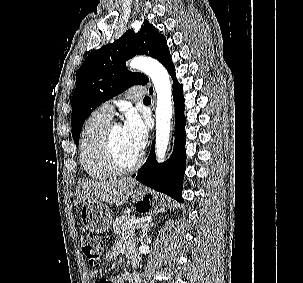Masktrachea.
Returning a JSON list of instances; mask_svg holds the SVG:
<instances>
[{
    "mask_svg": "<svg viewBox=\"0 0 303 283\" xmlns=\"http://www.w3.org/2000/svg\"><path fill=\"white\" fill-rule=\"evenodd\" d=\"M151 101L150 97L146 96L144 99H143V102H149Z\"/></svg>",
    "mask_w": 303,
    "mask_h": 283,
    "instance_id": "obj_1",
    "label": "trachea"
}]
</instances>
